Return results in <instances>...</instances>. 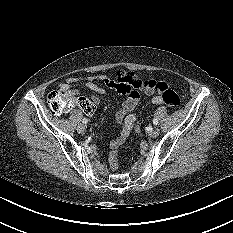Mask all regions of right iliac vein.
<instances>
[{
    "label": "right iliac vein",
    "mask_w": 233,
    "mask_h": 233,
    "mask_svg": "<svg viewBox=\"0 0 233 233\" xmlns=\"http://www.w3.org/2000/svg\"><path fill=\"white\" fill-rule=\"evenodd\" d=\"M85 130H86V126H85L84 124L78 125L77 131H78L79 133L83 134V133L85 132Z\"/></svg>",
    "instance_id": "63e3f726"
}]
</instances>
